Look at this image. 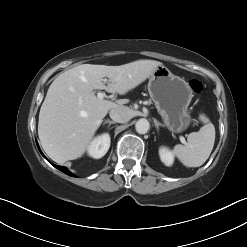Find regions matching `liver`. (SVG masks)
<instances>
[{
  "label": "liver",
  "instance_id": "obj_1",
  "mask_svg": "<svg viewBox=\"0 0 247 247\" xmlns=\"http://www.w3.org/2000/svg\"><path fill=\"white\" fill-rule=\"evenodd\" d=\"M163 65L138 60L120 66L82 64L60 74L41 106L38 136L46 154L57 163L80 158L109 110L128 103L99 99L94 90L126 94ZM108 77L107 86L103 78Z\"/></svg>",
  "mask_w": 247,
  "mask_h": 247
}]
</instances>
